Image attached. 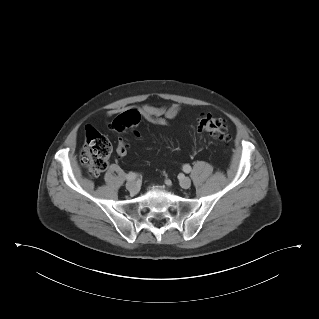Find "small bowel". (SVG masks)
Segmentation results:
<instances>
[{"mask_svg":"<svg viewBox=\"0 0 319 319\" xmlns=\"http://www.w3.org/2000/svg\"><path fill=\"white\" fill-rule=\"evenodd\" d=\"M139 110L144 119L149 123L156 126H168L170 121L173 118H175L180 112V107L177 104H170L164 106L145 104L141 106ZM127 151V144L124 142V140L120 139L117 145L118 155L125 156Z\"/></svg>","mask_w":319,"mask_h":319,"instance_id":"c3829d8e","label":"small bowel"}]
</instances>
